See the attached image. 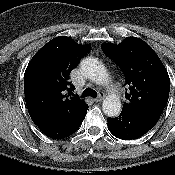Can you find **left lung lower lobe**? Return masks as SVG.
I'll return each mask as SVG.
<instances>
[{
    "label": "left lung lower lobe",
    "instance_id": "0a47b994",
    "mask_svg": "<svg viewBox=\"0 0 175 175\" xmlns=\"http://www.w3.org/2000/svg\"><path fill=\"white\" fill-rule=\"evenodd\" d=\"M164 109L144 108L124 111L115 118H108V129L119 139H137L147 133L159 120Z\"/></svg>",
    "mask_w": 175,
    "mask_h": 175
}]
</instances>
